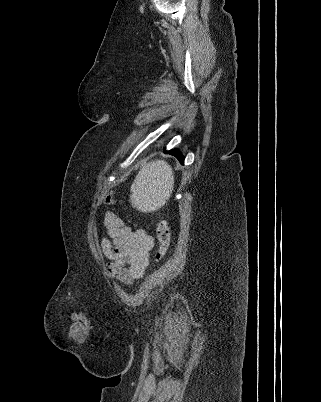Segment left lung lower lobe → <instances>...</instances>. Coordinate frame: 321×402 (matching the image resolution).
<instances>
[{
  "label": "left lung lower lobe",
  "instance_id": "1",
  "mask_svg": "<svg viewBox=\"0 0 321 402\" xmlns=\"http://www.w3.org/2000/svg\"><path fill=\"white\" fill-rule=\"evenodd\" d=\"M168 153L175 156L180 161V163H182V164L184 163L183 155L181 154V152L179 150L172 149V150L168 151Z\"/></svg>",
  "mask_w": 321,
  "mask_h": 402
}]
</instances>
